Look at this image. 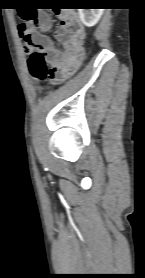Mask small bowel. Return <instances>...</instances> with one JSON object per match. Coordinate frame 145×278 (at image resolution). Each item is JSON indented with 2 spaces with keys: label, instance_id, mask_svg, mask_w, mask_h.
Instances as JSON below:
<instances>
[{
  "label": "small bowel",
  "instance_id": "small-bowel-1",
  "mask_svg": "<svg viewBox=\"0 0 145 278\" xmlns=\"http://www.w3.org/2000/svg\"><path fill=\"white\" fill-rule=\"evenodd\" d=\"M21 15V11L19 10ZM56 14L61 24L55 33L56 41L62 46L58 49L54 41L45 34L52 27L49 16L43 12L34 20L20 24V29L32 33L37 50L41 52L51 66L52 78L59 79L68 71H76L85 59V51L82 46L85 37L84 27L75 12L58 11Z\"/></svg>",
  "mask_w": 145,
  "mask_h": 278
}]
</instances>
